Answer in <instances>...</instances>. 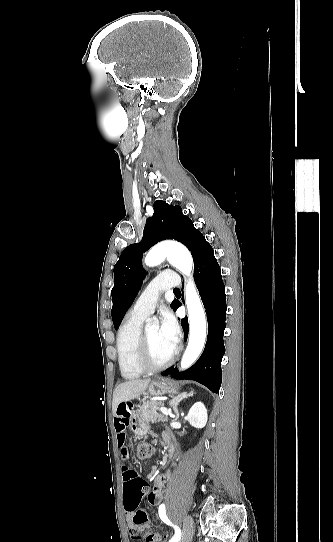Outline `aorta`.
<instances>
[{"label":"aorta","mask_w":333,"mask_h":542,"mask_svg":"<svg viewBox=\"0 0 333 542\" xmlns=\"http://www.w3.org/2000/svg\"><path fill=\"white\" fill-rule=\"evenodd\" d=\"M165 256H167L169 264H172L184 276L190 278L193 268V258L189 250L185 246H182V244H178V242H170V244L161 246L159 252L150 250L145 258V264L146 266H158V264L163 262ZM185 298L189 320V342L182 356L181 370H187V368L193 366L199 356H201L207 332L204 308L192 280H187L186 282Z\"/></svg>","instance_id":"762f6f07"}]
</instances>
